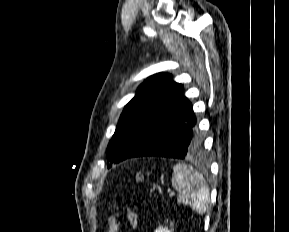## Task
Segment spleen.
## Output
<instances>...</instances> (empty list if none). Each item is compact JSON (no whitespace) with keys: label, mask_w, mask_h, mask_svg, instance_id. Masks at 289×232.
<instances>
[{"label":"spleen","mask_w":289,"mask_h":232,"mask_svg":"<svg viewBox=\"0 0 289 232\" xmlns=\"http://www.w3.org/2000/svg\"><path fill=\"white\" fill-rule=\"evenodd\" d=\"M173 171L172 185L179 193L178 203L188 205L198 214L205 213L210 203V193L203 175L184 163L175 165Z\"/></svg>","instance_id":"obj_1"}]
</instances>
